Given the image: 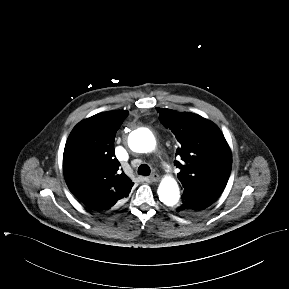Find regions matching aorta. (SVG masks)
<instances>
[{
    "label": "aorta",
    "instance_id": "1",
    "mask_svg": "<svg viewBox=\"0 0 289 289\" xmlns=\"http://www.w3.org/2000/svg\"><path fill=\"white\" fill-rule=\"evenodd\" d=\"M128 145L132 151L139 153L151 152L155 149L156 140L154 135L148 129H142L133 132ZM159 200L167 206H174L180 198L179 186L172 177H165L158 187Z\"/></svg>",
    "mask_w": 289,
    "mask_h": 289
}]
</instances>
